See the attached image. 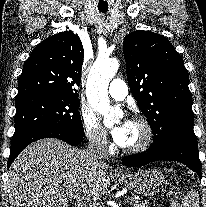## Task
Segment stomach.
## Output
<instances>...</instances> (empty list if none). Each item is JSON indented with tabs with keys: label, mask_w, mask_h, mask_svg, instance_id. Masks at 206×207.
Wrapping results in <instances>:
<instances>
[{
	"label": "stomach",
	"mask_w": 206,
	"mask_h": 207,
	"mask_svg": "<svg viewBox=\"0 0 206 207\" xmlns=\"http://www.w3.org/2000/svg\"><path fill=\"white\" fill-rule=\"evenodd\" d=\"M119 181L125 187L146 197L159 193L165 185L164 175L155 169H140L119 177Z\"/></svg>",
	"instance_id": "1"
}]
</instances>
